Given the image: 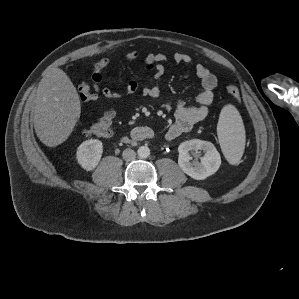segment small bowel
I'll list each match as a JSON object with an SVG mask.
<instances>
[{"instance_id": "c3829d8e", "label": "small bowel", "mask_w": 299, "mask_h": 299, "mask_svg": "<svg viewBox=\"0 0 299 299\" xmlns=\"http://www.w3.org/2000/svg\"><path fill=\"white\" fill-rule=\"evenodd\" d=\"M139 56L138 51L132 50L124 54V59L134 60ZM175 63L188 64L191 62V57L188 54L176 52L172 56ZM145 64L148 70L152 72L150 77L151 85L141 89L144 97L149 99H156L160 95L159 80L165 73V62L167 56L163 53H148L145 56ZM110 65L108 58H102L96 62L93 72L92 88L96 92H100L104 97L109 99H117L123 95L133 94L138 91L139 86L135 80H129L124 88V91L118 92L105 86L101 87L103 81L102 72ZM196 75L198 76L202 91L195 97V104L188 106L182 100H177L174 104L175 121L169 126L165 133L166 140H173L182 134L188 133L193 126L205 120L209 115V106L214 101V90L217 87V77L204 65L197 64L195 67ZM137 129V128H136ZM134 129V130H136ZM133 130V131H134Z\"/></svg>"}]
</instances>
